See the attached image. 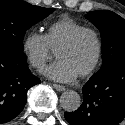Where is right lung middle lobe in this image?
I'll return each instance as SVG.
<instances>
[{
  "instance_id": "dd1d6c3e",
  "label": "right lung middle lobe",
  "mask_w": 125,
  "mask_h": 125,
  "mask_svg": "<svg viewBox=\"0 0 125 125\" xmlns=\"http://www.w3.org/2000/svg\"><path fill=\"white\" fill-rule=\"evenodd\" d=\"M54 10L34 6L22 0H0V43L23 51L26 30Z\"/></svg>"
}]
</instances>
